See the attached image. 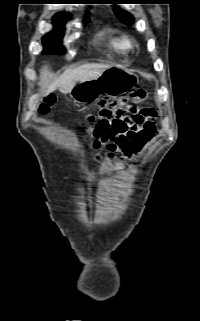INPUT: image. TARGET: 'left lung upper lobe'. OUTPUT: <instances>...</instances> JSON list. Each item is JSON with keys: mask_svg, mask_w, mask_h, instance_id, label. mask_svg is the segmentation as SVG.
<instances>
[{"mask_svg": "<svg viewBox=\"0 0 200 321\" xmlns=\"http://www.w3.org/2000/svg\"><path fill=\"white\" fill-rule=\"evenodd\" d=\"M110 1H112V4L118 3L117 2L118 0H110ZM114 12H115V15L124 23L131 24L134 22L133 16L130 13L124 10H121L120 8H117V7H115Z\"/></svg>", "mask_w": 200, "mask_h": 321, "instance_id": "obj_1", "label": "left lung upper lobe"}]
</instances>
